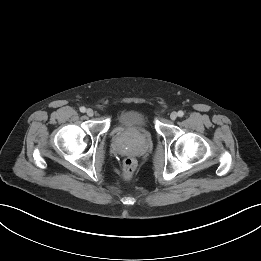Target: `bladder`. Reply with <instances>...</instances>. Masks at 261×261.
Masks as SVG:
<instances>
[{"mask_svg":"<svg viewBox=\"0 0 261 261\" xmlns=\"http://www.w3.org/2000/svg\"><path fill=\"white\" fill-rule=\"evenodd\" d=\"M118 124L122 127L146 128L149 124L148 116L139 110H127L118 116Z\"/></svg>","mask_w":261,"mask_h":261,"instance_id":"31cf9c89","label":"bladder"}]
</instances>
